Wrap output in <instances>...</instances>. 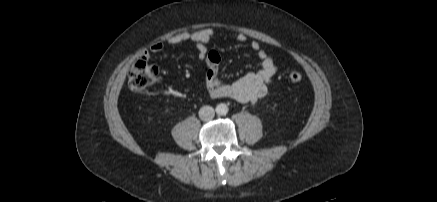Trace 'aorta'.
I'll return each mask as SVG.
<instances>
[{"label": "aorta", "mask_w": 437, "mask_h": 202, "mask_svg": "<svg viewBox=\"0 0 437 202\" xmlns=\"http://www.w3.org/2000/svg\"><path fill=\"white\" fill-rule=\"evenodd\" d=\"M216 113L218 114V115H226L227 113H228V107H227V105L226 104H223V103H221V104H218L217 106H216Z\"/></svg>", "instance_id": "aorta-1"}]
</instances>
